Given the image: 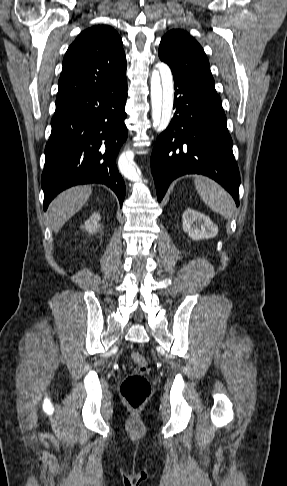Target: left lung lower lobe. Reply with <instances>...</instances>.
I'll return each mask as SVG.
<instances>
[{"label": "left lung lower lobe", "mask_w": 287, "mask_h": 486, "mask_svg": "<svg viewBox=\"0 0 287 486\" xmlns=\"http://www.w3.org/2000/svg\"><path fill=\"white\" fill-rule=\"evenodd\" d=\"M172 74L176 111L157 138L150 161L158 200L172 180L197 173L220 183L239 205L240 175L220 97L178 72Z\"/></svg>", "instance_id": "0a47b994"}]
</instances>
